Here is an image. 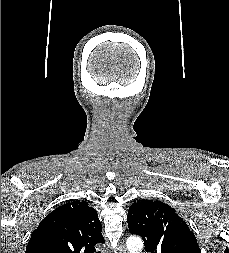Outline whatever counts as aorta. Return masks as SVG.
I'll return each instance as SVG.
<instances>
[{"label": "aorta", "instance_id": "762f6f07", "mask_svg": "<svg viewBox=\"0 0 229 253\" xmlns=\"http://www.w3.org/2000/svg\"><path fill=\"white\" fill-rule=\"evenodd\" d=\"M126 245L130 253H139L143 248L142 240L136 236L128 238Z\"/></svg>", "mask_w": 229, "mask_h": 253}]
</instances>
